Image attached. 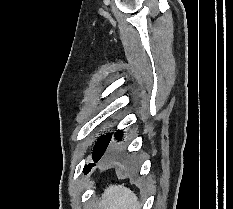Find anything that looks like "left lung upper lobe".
Segmentation results:
<instances>
[{"instance_id": "obj_1", "label": "left lung upper lobe", "mask_w": 233, "mask_h": 209, "mask_svg": "<svg viewBox=\"0 0 233 209\" xmlns=\"http://www.w3.org/2000/svg\"><path fill=\"white\" fill-rule=\"evenodd\" d=\"M111 137V134L106 136L104 135L97 141L93 151V158L100 159L102 157L111 140Z\"/></svg>"}]
</instances>
